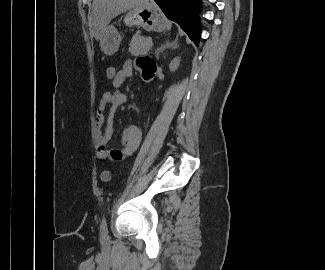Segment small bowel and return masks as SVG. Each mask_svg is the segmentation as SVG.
<instances>
[{"mask_svg": "<svg viewBox=\"0 0 325 270\" xmlns=\"http://www.w3.org/2000/svg\"><path fill=\"white\" fill-rule=\"evenodd\" d=\"M136 68L144 80H151L156 73V63L153 58L147 55L139 56L136 59ZM118 78L113 84V91H106L99 102L97 115L94 121L96 157L100 161H121L130 156L138 147L141 139L140 128L136 125L126 127L122 135V148L109 150L106 144L113 136L112 117L116 109L124 105L127 96L121 91L125 81L133 75V65L130 60L124 62L117 70ZM106 111L110 114L108 123L106 122Z\"/></svg>", "mask_w": 325, "mask_h": 270, "instance_id": "1", "label": "small bowel"}]
</instances>
